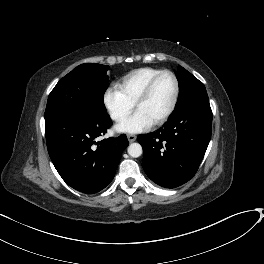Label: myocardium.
I'll return each instance as SVG.
<instances>
[{
    "label": "myocardium",
    "instance_id": "obj_1",
    "mask_svg": "<svg viewBox=\"0 0 264 264\" xmlns=\"http://www.w3.org/2000/svg\"><path fill=\"white\" fill-rule=\"evenodd\" d=\"M165 74L170 75L174 80V85H175L174 94H173V98H172V101H171L169 108L166 110V112L162 116H160L156 121H154L152 123L153 126H159V125L163 124L165 121H167L168 118L173 114V112L176 108L178 98H179V93H180V84H179V80H178L177 76L175 75V73H173L170 70H162L159 73H157L155 76H153L148 81V83L146 84V86L142 90L141 94L139 95L138 99L134 103V107L136 109L141 103H143L149 97V95L152 91V88L155 85L156 81L162 75H165Z\"/></svg>",
    "mask_w": 264,
    "mask_h": 264
}]
</instances>
